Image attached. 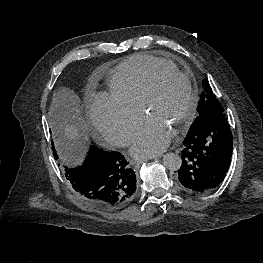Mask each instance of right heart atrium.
Returning <instances> with one entry per match:
<instances>
[{
    "label": "right heart atrium",
    "mask_w": 263,
    "mask_h": 263,
    "mask_svg": "<svg viewBox=\"0 0 263 263\" xmlns=\"http://www.w3.org/2000/svg\"><path fill=\"white\" fill-rule=\"evenodd\" d=\"M96 133L117 146H126L142 119L141 110L121 102L110 93L98 94L90 104Z\"/></svg>",
    "instance_id": "1"
}]
</instances>
